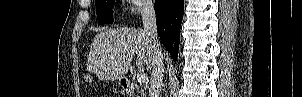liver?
Returning <instances> with one entry per match:
<instances>
[{
  "mask_svg": "<svg viewBox=\"0 0 302 97\" xmlns=\"http://www.w3.org/2000/svg\"><path fill=\"white\" fill-rule=\"evenodd\" d=\"M136 56L139 69L151 70L153 48L143 29L128 27L103 29L94 38L88 57V70L109 80L121 79Z\"/></svg>",
  "mask_w": 302,
  "mask_h": 97,
  "instance_id": "obj_1",
  "label": "liver"
}]
</instances>
